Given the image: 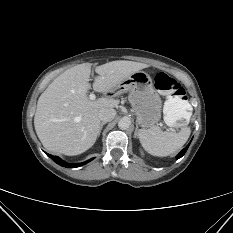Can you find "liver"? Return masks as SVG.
<instances>
[{
	"label": "liver",
	"mask_w": 233,
	"mask_h": 233,
	"mask_svg": "<svg viewBox=\"0 0 233 233\" xmlns=\"http://www.w3.org/2000/svg\"><path fill=\"white\" fill-rule=\"evenodd\" d=\"M91 63L76 65L55 78L40 95L34 116L36 134L43 146L52 152L74 156L91 148L98 136L102 109L118 106L112 98L91 100L89 78ZM147 64L118 60L95 67L93 89L113 92L132 73L147 68Z\"/></svg>",
	"instance_id": "6515ba94"
}]
</instances>
